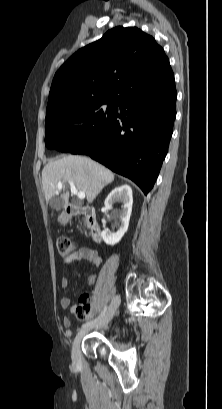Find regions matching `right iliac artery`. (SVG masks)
Here are the masks:
<instances>
[{
    "instance_id": "1",
    "label": "right iliac artery",
    "mask_w": 222,
    "mask_h": 409,
    "mask_svg": "<svg viewBox=\"0 0 222 409\" xmlns=\"http://www.w3.org/2000/svg\"><path fill=\"white\" fill-rule=\"evenodd\" d=\"M106 311H107V306L104 307L103 311L101 312V314L97 318H95L93 320H90V321L86 322L85 324H83L82 327H81V330L86 329V328L94 325L96 322L100 321L101 318L105 315Z\"/></svg>"
}]
</instances>
